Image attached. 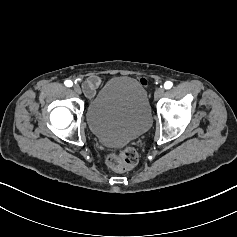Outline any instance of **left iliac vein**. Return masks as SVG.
<instances>
[{"label":"left iliac vein","instance_id":"4c4485c4","mask_svg":"<svg viewBox=\"0 0 237 237\" xmlns=\"http://www.w3.org/2000/svg\"><path fill=\"white\" fill-rule=\"evenodd\" d=\"M164 93H165V90L163 88L160 87L156 89L155 94H154L155 99H159L160 97L164 95Z\"/></svg>","mask_w":237,"mask_h":237}]
</instances>
